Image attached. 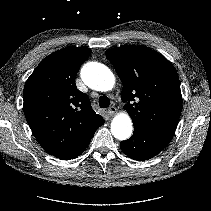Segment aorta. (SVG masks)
I'll return each mask as SVG.
<instances>
[{
    "instance_id": "762f6f07",
    "label": "aorta",
    "mask_w": 211,
    "mask_h": 211,
    "mask_svg": "<svg viewBox=\"0 0 211 211\" xmlns=\"http://www.w3.org/2000/svg\"><path fill=\"white\" fill-rule=\"evenodd\" d=\"M81 78L90 88L108 91L113 88L115 77L112 71L98 62H89L81 69ZM132 121L127 113H120L111 123V132L119 140H126L132 134Z\"/></svg>"
}]
</instances>
